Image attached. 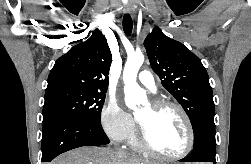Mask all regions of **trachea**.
Masks as SVG:
<instances>
[{"instance_id":"obj_1","label":"trachea","mask_w":251,"mask_h":164,"mask_svg":"<svg viewBox=\"0 0 251 164\" xmlns=\"http://www.w3.org/2000/svg\"><path fill=\"white\" fill-rule=\"evenodd\" d=\"M123 30L127 36H130L132 33L133 22L129 14H125L123 17Z\"/></svg>"}]
</instances>
